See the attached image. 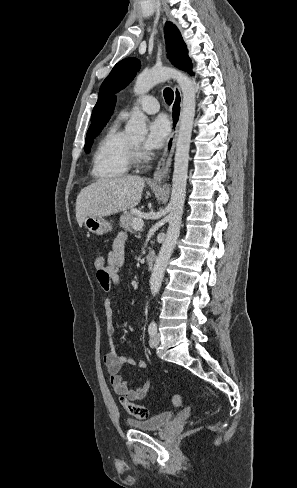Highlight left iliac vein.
I'll return each instance as SVG.
<instances>
[{
    "instance_id": "left-iliac-vein-1",
    "label": "left iliac vein",
    "mask_w": 297,
    "mask_h": 488,
    "mask_svg": "<svg viewBox=\"0 0 297 488\" xmlns=\"http://www.w3.org/2000/svg\"><path fill=\"white\" fill-rule=\"evenodd\" d=\"M160 343V334L159 333H155L151 338H150V341H149V345L151 348H156Z\"/></svg>"
}]
</instances>
